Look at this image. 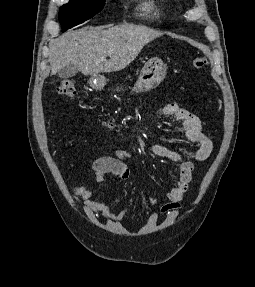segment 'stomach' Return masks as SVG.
Segmentation results:
<instances>
[{"mask_svg": "<svg viewBox=\"0 0 255 287\" xmlns=\"http://www.w3.org/2000/svg\"><path fill=\"white\" fill-rule=\"evenodd\" d=\"M165 74L166 68H164L162 62L154 70L152 68H144L135 84L133 92H149V90H153V88L161 84L165 78ZM89 84L94 90H102L104 88L103 78L98 76V74H93L89 80Z\"/></svg>", "mask_w": 255, "mask_h": 287, "instance_id": "stomach-1", "label": "stomach"}]
</instances>
